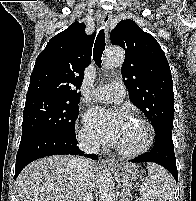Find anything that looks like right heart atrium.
<instances>
[{"label":"right heart atrium","instance_id":"obj_1","mask_svg":"<svg viewBox=\"0 0 196 201\" xmlns=\"http://www.w3.org/2000/svg\"><path fill=\"white\" fill-rule=\"evenodd\" d=\"M78 139L82 145L87 147L95 148L99 145L98 141L84 127L79 129Z\"/></svg>","mask_w":196,"mask_h":201}]
</instances>
